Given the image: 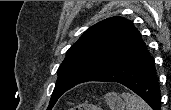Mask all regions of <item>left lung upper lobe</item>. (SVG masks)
Listing matches in <instances>:
<instances>
[{"mask_svg": "<svg viewBox=\"0 0 171 110\" xmlns=\"http://www.w3.org/2000/svg\"><path fill=\"white\" fill-rule=\"evenodd\" d=\"M142 44L134 24L122 17H111L90 27L68 49L58 68V79L47 110H51L67 90L118 65Z\"/></svg>", "mask_w": 171, "mask_h": 110, "instance_id": "5c2ea615", "label": "left lung upper lobe"}]
</instances>
